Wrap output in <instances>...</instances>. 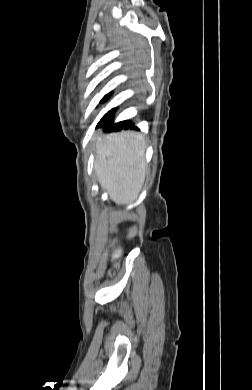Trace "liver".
<instances>
[{"label":"liver","instance_id":"1","mask_svg":"<svg viewBox=\"0 0 252 390\" xmlns=\"http://www.w3.org/2000/svg\"><path fill=\"white\" fill-rule=\"evenodd\" d=\"M94 169L100 186L116 204H130L139 195L147 166L144 136L132 131L109 133L96 139ZM122 253L113 250L115 259Z\"/></svg>","mask_w":252,"mask_h":390}]
</instances>
